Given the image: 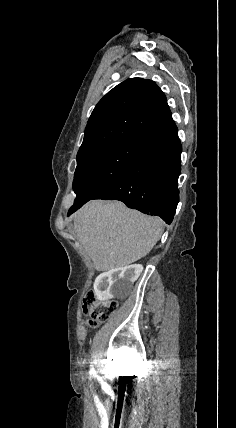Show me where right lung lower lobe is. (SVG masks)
<instances>
[{
    "mask_svg": "<svg viewBox=\"0 0 236 428\" xmlns=\"http://www.w3.org/2000/svg\"><path fill=\"white\" fill-rule=\"evenodd\" d=\"M181 151L178 130L171 118L140 140L138 153L129 166L93 199L119 200L170 224L179 202ZM80 207L70 209L68 215Z\"/></svg>",
    "mask_w": 236,
    "mask_h": 428,
    "instance_id": "right-lung-lower-lobe-1",
    "label": "right lung lower lobe"
}]
</instances>
